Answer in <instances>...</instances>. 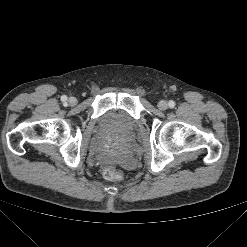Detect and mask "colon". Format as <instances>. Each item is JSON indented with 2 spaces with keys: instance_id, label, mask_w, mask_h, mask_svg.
I'll return each mask as SVG.
<instances>
[{
  "instance_id": "colon-1",
  "label": "colon",
  "mask_w": 247,
  "mask_h": 247,
  "mask_svg": "<svg viewBox=\"0 0 247 247\" xmlns=\"http://www.w3.org/2000/svg\"><path fill=\"white\" fill-rule=\"evenodd\" d=\"M103 177L109 181H118L122 179V174L113 166H108L103 169Z\"/></svg>"
}]
</instances>
